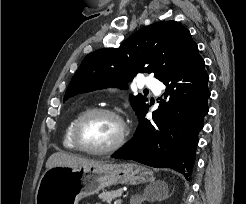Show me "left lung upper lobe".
<instances>
[{
	"mask_svg": "<svg viewBox=\"0 0 246 204\" xmlns=\"http://www.w3.org/2000/svg\"><path fill=\"white\" fill-rule=\"evenodd\" d=\"M196 43L176 21L157 22L140 29L119 48L88 54L67 88L64 100L79 93L118 86L126 87L136 73H154L163 81ZM138 117L148 107L141 94L130 95Z\"/></svg>",
	"mask_w": 246,
	"mask_h": 204,
	"instance_id": "1",
	"label": "left lung upper lobe"
}]
</instances>
